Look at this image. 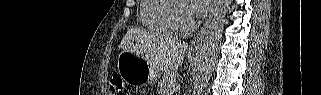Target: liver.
<instances>
[{
  "label": "liver",
  "mask_w": 321,
  "mask_h": 95,
  "mask_svg": "<svg viewBox=\"0 0 321 95\" xmlns=\"http://www.w3.org/2000/svg\"><path fill=\"white\" fill-rule=\"evenodd\" d=\"M150 35L138 29H130L122 39L119 48L143 57L151 65L163 72H175L183 64L187 44L168 36L155 39L151 51H146V41Z\"/></svg>",
  "instance_id": "1"
}]
</instances>
